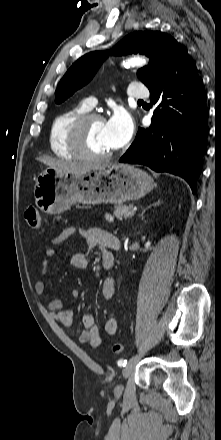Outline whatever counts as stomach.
<instances>
[{
    "instance_id": "0dacf381",
    "label": "stomach",
    "mask_w": 221,
    "mask_h": 440,
    "mask_svg": "<svg viewBox=\"0 0 221 440\" xmlns=\"http://www.w3.org/2000/svg\"><path fill=\"white\" fill-rule=\"evenodd\" d=\"M154 185L148 173L126 164L110 163L81 174L47 168L36 179L34 197L43 212L60 214L76 202L99 204L138 200Z\"/></svg>"
}]
</instances>
